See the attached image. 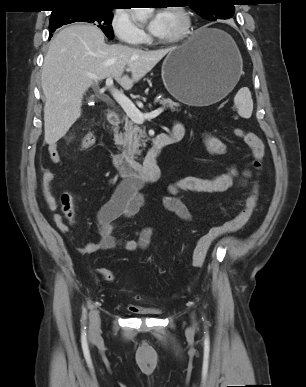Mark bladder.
Returning <instances> with one entry per match:
<instances>
[{"mask_svg": "<svg viewBox=\"0 0 306 387\" xmlns=\"http://www.w3.org/2000/svg\"><path fill=\"white\" fill-rule=\"evenodd\" d=\"M161 312V309L158 307H140L138 310H134L136 314L148 316H158Z\"/></svg>", "mask_w": 306, "mask_h": 387, "instance_id": "obj_1", "label": "bladder"}]
</instances>
